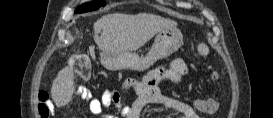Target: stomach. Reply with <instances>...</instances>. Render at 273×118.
I'll list each match as a JSON object with an SVG mask.
<instances>
[{
    "label": "stomach",
    "mask_w": 273,
    "mask_h": 118,
    "mask_svg": "<svg viewBox=\"0 0 273 118\" xmlns=\"http://www.w3.org/2000/svg\"><path fill=\"white\" fill-rule=\"evenodd\" d=\"M183 44V35L175 27L164 28L156 36L150 51L144 57L132 52L111 54L103 52L100 55L102 65L108 70L130 69L143 71L152 66L157 60L167 58Z\"/></svg>",
    "instance_id": "stomach-1"
}]
</instances>
